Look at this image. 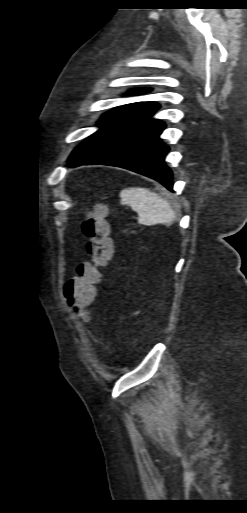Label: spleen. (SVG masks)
I'll use <instances>...</instances> for the list:
<instances>
[{"instance_id":"obj_1","label":"spleen","mask_w":247,"mask_h":513,"mask_svg":"<svg viewBox=\"0 0 247 513\" xmlns=\"http://www.w3.org/2000/svg\"><path fill=\"white\" fill-rule=\"evenodd\" d=\"M120 203L131 206L138 213L141 224L168 223L174 220V211L167 200L148 188L130 187L120 192Z\"/></svg>"}]
</instances>
